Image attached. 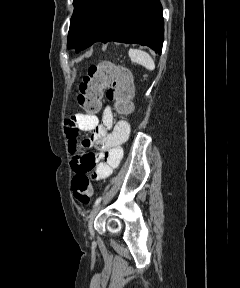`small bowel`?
<instances>
[{
	"instance_id": "1",
	"label": "small bowel",
	"mask_w": 240,
	"mask_h": 288,
	"mask_svg": "<svg viewBox=\"0 0 240 288\" xmlns=\"http://www.w3.org/2000/svg\"><path fill=\"white\" fill-rule=\"evenodd\" d=\"M71 168L75 174H91L94 180L110 176L123 158L122 144L130 135V125L125 120L114 122L112 109L105 107L101 119L97 115L77 113L64 123ZM91 132L89 138L80 139V132ZM94 147L98 152H83Z\"/></svg>"
}]
</instances>
